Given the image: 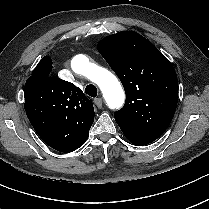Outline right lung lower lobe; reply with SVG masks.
<instances>
[{
	"label": "right lung lower lobe",
	"mask_w": 209,
	"mask_h": 209,
	"mask_svg": "<svg viewBox=\"0 0 209 209\" xmlns=\"http://www.w3.org/2000/svg\"><path fill=\"white\" fill-rule=\"evenodd\" d=\"M35 131L43 139V141L53 149L60 152H72L67 144L62 143L61 141H59V139L55 138V136L53 135V131L51 130H35Z\"/></svg>",
	"instance_id": "98d812e1"
}]
</instances>
